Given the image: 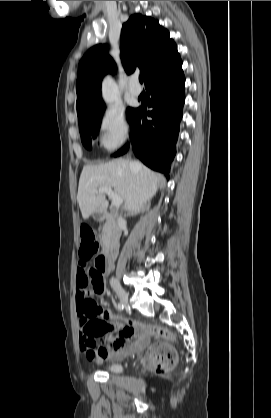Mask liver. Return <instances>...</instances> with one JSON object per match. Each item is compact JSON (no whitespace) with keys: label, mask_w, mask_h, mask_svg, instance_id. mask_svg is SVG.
Wrapping results in <instances>:
<instances>
[{"label":"liver","mask_w":271,"mask_h":418,"mask_svg":"<svg viewBox=\"0 0 271 418\" xmlns=\"http://www.w3.org/2000/svg\"><path fill=\"white\" fill-rule=\"evenodd\" d=\"M161 175L137 161L116 159L100 165L83 167L79 179L77 201L83 219L108 207L105 193H96L100 187L113 188L124 201V208L137 214L144 209L157 191Z\"/></svg>","instance_id":"obj_1"}]
</instances>
